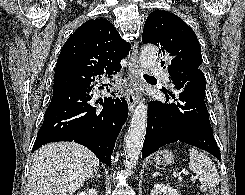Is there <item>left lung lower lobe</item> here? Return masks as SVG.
Instances as JSON below:
<instances>
[{
    "instance_id": "obj_1",
    "label": "left lung lower lobe",
    "mask_w": 245,
    "mask_h": 195,
    "mask_svg": "<svg viewBox=\"0 0 245 195\" xmlns=\"http://www.w3.org/2000/svg\"><path fill=\"white\" fill-rule=\"evenodd\" d=\"M170 95L175 103L151 101L148 104L142 158L165 144L180 141L201 148L221 161L204 97L185 91Z\"/></svg>"
}]
</instances>
